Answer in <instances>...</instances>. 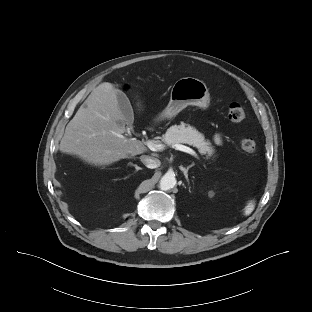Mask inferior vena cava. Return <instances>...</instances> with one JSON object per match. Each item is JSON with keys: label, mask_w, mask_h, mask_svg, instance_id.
I'll use <instances>...</instances> for the list:
<instances>
[{"label": "inferior vena cava", "mask_w": 312, "mask_h": 312, "mask_svg": "<svg viewBox=\"0 0 312 312\" xmlns=\"http://www.w3.org/2000/svg\"><path fill=\"white\" fill-rule=\"evenodd\" d=\"M140 160L147 168L150 169L157 168L161 164L159 159L147 155L140 156Z\"/></svg>", "instance_id": "inferior-vena-cava-1"}]
</instances>
